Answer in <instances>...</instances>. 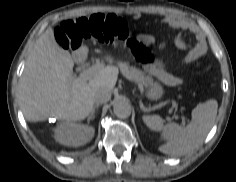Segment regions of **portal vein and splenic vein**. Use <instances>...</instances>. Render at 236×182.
I'll return each instance as SVG.
<instances>
[{"label": "portal vein and splenic vein", "mask_w": 236, "mask_h": 182, "mask_svg": "<svg viewBox=\"0 0 236 182\" xmlns=\"http://www.w3.org/2000/svg\"><path fill=\"white\" fill-rule=\"evenodd\" d=\"M103 68L100 65H93L80 73V77L89 79L99 73Z\"/></svg>", "instance_id": "obj_1"}]
</instances>
